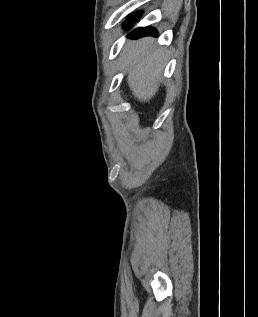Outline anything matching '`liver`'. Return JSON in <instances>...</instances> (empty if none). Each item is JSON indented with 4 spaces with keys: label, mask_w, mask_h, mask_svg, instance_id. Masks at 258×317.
<instances>
[{
    "label": "liver",
    "mask_w": 258,
    "mask_h": 317,
    "mask_svg": "<svg viewBox=\"0 0 258 317\" xmlns=\"http://www.w3.org/2000/svg\"><path fill=\"white\" fill-rule=\"evenodd\" d=\"M121 68L128 72V84L139 100H150L158 90L165 66L166 50L154 38L127 40L121 52Z\"/></svg>",
    "instance_id": "1"
}]
</instances>
